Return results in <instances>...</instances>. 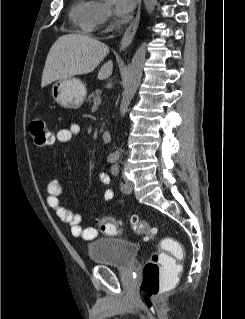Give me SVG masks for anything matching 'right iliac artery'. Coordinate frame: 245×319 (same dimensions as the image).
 <instances>
[{"instance_id":"1","label":"right iliac artery","mask_w":245,"mask_h":319,"mask_svg":"<svg viewBox=\"0 0 245 319\" xmlns=\"http://www.w3.org/2000/svg\"><path fill=\"white\" fill-rule=\"evenodd\" d=\"M116 160H117V158L114 157V156L108 157V161H109L110 163H114Z\"/></svg>"}]
</instances>
